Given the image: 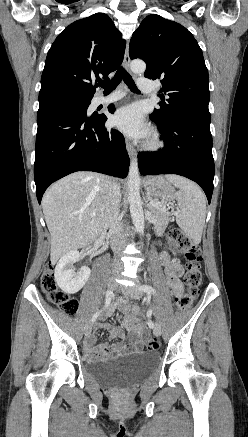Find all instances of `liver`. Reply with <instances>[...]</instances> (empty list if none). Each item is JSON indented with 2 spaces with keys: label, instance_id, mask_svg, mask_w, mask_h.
<instances>
[{
  "label": "liver",
  "instance_id": "liver-1",
  "mask_svg": "<svg viewBox=\"0 0 248 437\" xmlns=\"http://www.w3.org/2000/svg\"><path fill=\"white\" fill-rule=\"evenodd\" d=\"M106 195L107 177L91 172L66 176L45 192L42 208L51 236L53 264L98 238L105 223Z\"/></svg>",
  "mask_w": 248,
  "mask_h": 437
}]
</instances>
